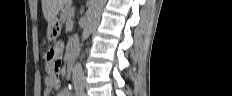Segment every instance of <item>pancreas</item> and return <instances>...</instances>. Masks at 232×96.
Instances as JSON below:
<instances>
[{
	"mask_svg": "<svg viewBox=\"0 0 232 96\" xmlns=\"http://www.w3.org/2000/svg\"><path fill=\"white\" fill-rule=\"evenodd\" d=\"M73 15H74V9L71 7H65L62 11V14H61V18H60L61 22L65 23V22L71 20Z\"/></svg>",
	"mask_w": 232,
	"mask_h": 96,
	"instance_id": "pancreas-1",
	"label": "pancreas"
}]
</instances>
